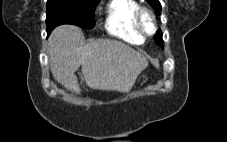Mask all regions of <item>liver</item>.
<instances>
[{
  "label": "liver",
  "mask_w": 227,
  "mask_h": 142,
  "mask_svg": "<svg viewBox=\"0 0 227 142\" xmlns=\"http://www.w3.org/2000/svg\"><path fill=\"white\" fill-rule=\"evenodd\" d=\"M83 33L73 25L56 27L48 39L50 69L66 89L80 93L75 72L82 68L86 84L96 90L128 92L148 61L130 46L111 39L82 44Z\"/></svg>",
  "instance_id": "liver-1"
}]
</instances>
